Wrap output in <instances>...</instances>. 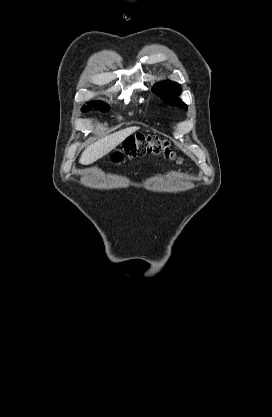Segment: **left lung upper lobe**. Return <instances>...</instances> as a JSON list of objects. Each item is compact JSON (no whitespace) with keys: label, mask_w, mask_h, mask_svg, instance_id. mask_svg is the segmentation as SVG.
<instances>
[{"label":"left lung upper lobe","mask_w":272,"mask_h":417,"mask_svg":"<svg viewBox=\"0 0 272 417\" xmlns=\"http://www.w3.org/2000/svg\"><path fill=\"white\" fill-rule=\"evenodd\" d=\"M153 89L155 94L160 95L166 104L187 110V105L178 98V95L181 93L178 83L163 81L157 83Z\"/></svg>","instance_id":"1"}]
</instances>
